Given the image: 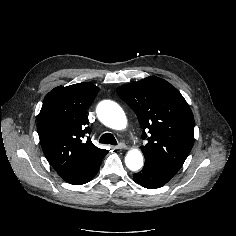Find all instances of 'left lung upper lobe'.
Segmentation results:
<instances>
[{"label":"left lung upper lobe","instance_id":"1","mask_svg":"<svg viewBox=\"0 0 236 236\" xmlns=\"http://www.w3.org/2000/svg\"><path fill=\"white\" fill-rule=\"evenodd\" d=\"M143 129L145 158L177 173L194 143V117L181 93L166 80L148 77L117 88ZM146 132H149L147 135Z\"/></svg>","mask_w":236,"mask_h":236}]
</instances>
